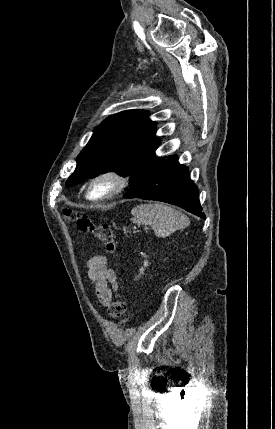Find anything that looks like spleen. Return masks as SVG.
<instances>
[{"label":"spleen","instance_id":"3e777b00","mask_svg":"<svg viewBox=\"0 0 275 429\" xmlns=\"http://www.w3.org/2000/svg\"><path fill=\"white\" fill-rule=\"evenodd\" d=\"M132 221L150 225L157 237L165 238L173 232L189 226V218L171 206L155 203L141 204L131 210Z\"/></svg>","mask_w":275,"mask_h":429}]
</instances>
